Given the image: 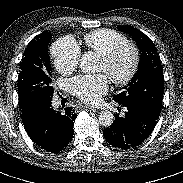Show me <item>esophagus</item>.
<instances>
[{
  "instance_id": "esophagus-1",
  "label": "esophagus",
  "mask_w": 183,
  "mask_h": 183,
  "mask_svg": "<svg viewBox=\"0 0 183 183\" xmlns=\"http://www.w3.org/2000/svg\"><path fill=\"white\" fill-rule=\"evenodd\" d=\"M82 108H83L84 110H87V111H96V109L91 108V107H88V106H82Z\"/></svg>"
}]
</instances>
